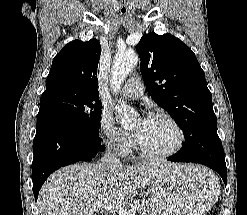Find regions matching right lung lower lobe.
Here are the masks:
<instances>
[{
  "mask_svg": "<svg viewBox=\"0 0 247 215\" xmlns=\"http://www.w3.org/2000/svg\"><path fill=\"white\" fill-rule=\"evenodd\" d=\"M32 182L35 199L47 177L60 167L90 161L104 148L99 133L55 118L37 120Z\"/></svg>",
  "mask_w": 247,
  "mask_h": 215,
  "instance_id": "98d812e1",
  "label": "right lung lower lobe"
}]
</instances>
